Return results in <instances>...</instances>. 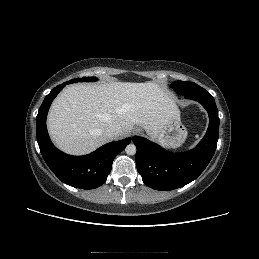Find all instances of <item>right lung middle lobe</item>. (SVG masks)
<instances>
[{"label": "right lung middle lobe", "instance_id": "1", "mask_svg": "<svg viewBox=\"0 0 259 259\" xmlns=\"http://www.w3.org/2000/svg\"><path fill=\"white\" fill-rule=\"evenodd\" d=\"M95 80H96L95 77H83V78L72 79V80H70L68 82L71 84V83L83 82V81H85V82H93Z\"/></svg>", "mask_w": 259, "mask_h": 259}]
</instances>
